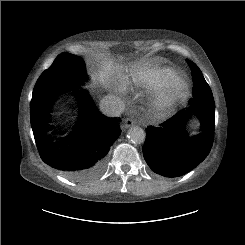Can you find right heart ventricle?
<instances>
[{
  "label": "right heart ventricle",
  "instance_id": "obj_1",
  "mask_svg": "<svg viewBox=\"0 0 245 245\" xmlns=\"http://www.w3.org/2000/svg\"><path fill=\"white\" fill-rule=\"evenodd\" d=\"M177 75L170 69L155 72H141L132 77V83L138 87L161 89L172 86Z\"/></svg>",
  "mask_w": 245,
  "mask_h": 245
}]
</instances>
